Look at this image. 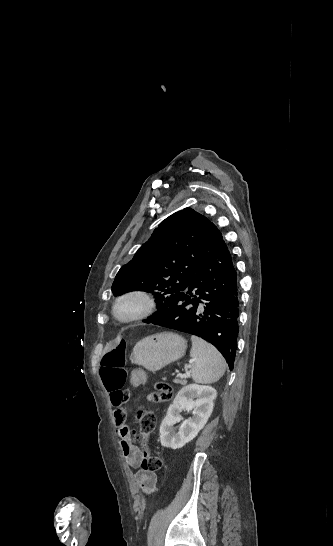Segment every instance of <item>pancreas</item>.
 Returning a JSON list of instances; mask_svg holds the SVG:
<instances>
[{
  "instance_id": "1",
  "label": "pancreas",
  "mask_w": 333,
  "mask_h": 546,
  "mask_svg": "<svg viewBox=\"0 0 333 546\" xmlns=\"http://www.w3.org/2000/svg\"><path fill=\"white\" fill-rule=\"evenodd\" d=\"M176 383H181V384H185L186 383V379H183V380H180L178 378H175L174 380Z\"/></svg>"
}]
</instances>
